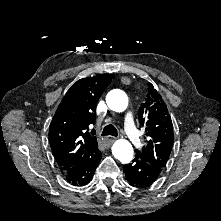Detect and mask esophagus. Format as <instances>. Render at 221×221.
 <instances>
[{"instance_id": "esophagus-1", "label": "esophagus", "mask_w": 221, "mask_h": 221, "mask_svg": "<svg viewBox=\"0 0 221 221\" xmlns=\"http://www.w3.org/2000/svg\"><path fill=\"white\" fill-rule=\"evenodd\" d=\"M116 140L115 137L108 136L105 138L107 144H112Z\"/></svg>"}]
</instances>
